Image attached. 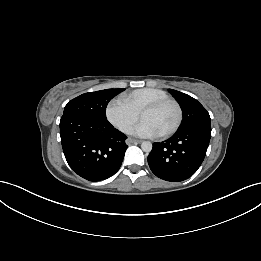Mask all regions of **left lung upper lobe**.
I'll list each match as a JSON object with an SVG mask.
<instances>
[{
  "instance_id": "left-lung-upper-lobe-1",
  "label": "left lung upper lobe",
  "mask_w": 261,
  "mask_h": 261,
  "mask_svg": "<svg viewBox=\"0 0 261 261\" xmlns=\"http://www.w3.org/2000/svg\"><path fill=\"white\" fill-rule=\"evenodd\" d=\"M169 92L178 101L183 111V122L180 129L196 124H210L209 113L196 99L173 89H169Z\"/></svg>"
}]
</instances>
